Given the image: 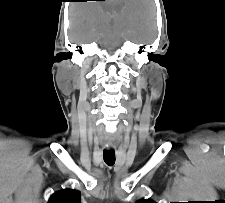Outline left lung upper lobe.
<instances>
[{
	"mask_svg": "<svg viewBox=\"0 0 225 203\" xmlns=\"http://www.w3.org/2000/svg\"><path fill=\"white\" fill-rule=\"evenodd\" d=\"M136 203H155V202L150 199H141L138 200Z\"/></svg>",
	"mask_w": 225,
	"mask_h": 203,
	"instance_id": "1",
	"label": "left lung upper lobe"
}]
</instances>
